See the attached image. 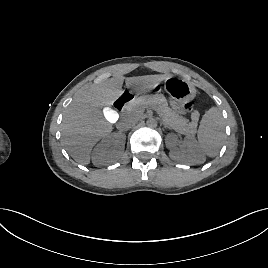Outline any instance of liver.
I'll use <instances>...</instances> for the list:
<instances>
[{"label": "liver", "mask_w": 268, "mask_h": 268, "mask_svg": "<svg viewBox=\"0 0 268 268\" xmlns=\"http://www.w3.org/2000/svg\"><path fill=\"white\" fill-rule=\"evenodd\" d=\"M168 77L145 75L125 78L115 75L77 92L62 123L63 142L71 157L83 165L89 164L93 146L112 132L113 127L105 119L102 108L111 106L123 94L124 80L128 89L145 92ZM106 117L110 119L107 114Z\"/></svg>", "instance_id": "1"}]
</instances>
